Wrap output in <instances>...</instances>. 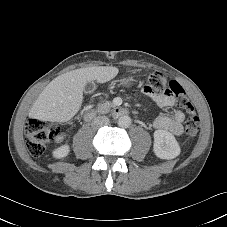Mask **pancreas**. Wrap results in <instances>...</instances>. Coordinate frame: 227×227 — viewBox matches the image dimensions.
I'll list each match as a JSON object with an SVG mask.
<instances>
[{"mask_svg": "<svg viewBox=\"0 0 227 227\" xmlns=\"http://www.w3.org/2000/svg\"><path fill=\"white\" fill-rule=\"evenodd\" d=\"M113 107V104L110 101H104L97 104V110L100 113H106Z\"/></svg>", "mask_w": 227, "mask_h": 227, "instance_id": "cf45deb5", "label": "pancreas"}]
</instances>
